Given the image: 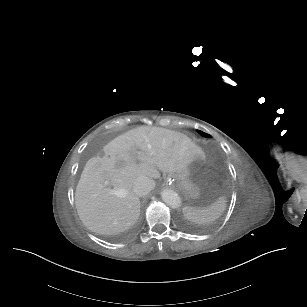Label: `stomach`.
<instances>
[{
    "label": "stomach",
    "mask_w": 307,
    "mask_h": 307,
    "mask_svg": "<svg viewBox=\"0 0 307 307\" xmlns=\"http://www.w3.org/2000/svg\"><path fill=\"white\" fill-rule=\"evenodd\" d=\"M201 163L202 158L196 157L186 168L174 173H169L166 182L170 185H174L184 193H192L196 189L194 180Z\"/></svg>",
    "instance_id": "0dacf381"
}]
</instances>
